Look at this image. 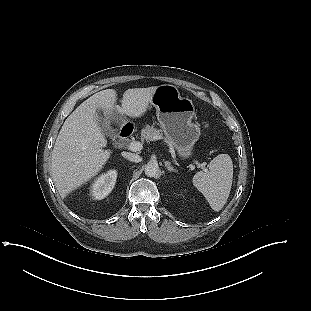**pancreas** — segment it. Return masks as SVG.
Wrapping results in <instances>:
<instances>
[{
  "label": "pancreas",
  "mask_w": 311,
  "mask_h": 311,
  "mask_svg": "<svg viewBox=\"0 0 311 311\" xmlns=\"http://www.w3.org/2000/svg\"><path fill=\"white\" fill-rule=\"evenodd\" d=\"M141 137L145 140L163 139V135H162L160 130H158L152 126L150 127L148 125L144 129H142ZM165 140H166V142H168L166 138H165Z\"/></svg>",
  "instance_id": "1"
}]
</instances>
